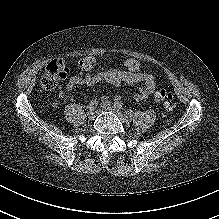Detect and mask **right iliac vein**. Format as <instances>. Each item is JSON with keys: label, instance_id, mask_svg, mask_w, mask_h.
I'll return each instance as SVG.
<instances>
[{"label": "right iliac vein", "instance_id": "right-iliac-vein-1", "mask_svg": "<svg viewBox=\"0 0 219 219\" xmlns=\"http://www.w3.org/2000/svg\"><path fill=\"white\" fill-rule=\"evenodd\" d=\"M87 116H88V118L89 119H94L95 117H96V111L95 110H89L88 112H87Z\"/></svg>", "mask_w": 219, "mask_h": 219}]
</instances>
